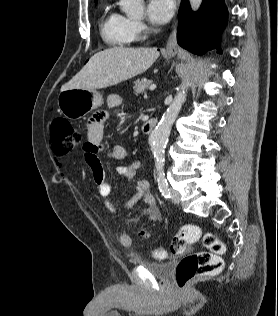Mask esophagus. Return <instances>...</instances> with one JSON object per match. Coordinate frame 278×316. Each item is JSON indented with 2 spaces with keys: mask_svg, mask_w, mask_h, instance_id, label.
Wrapping results in <instances>:
<instances>
[{
  "mask_svg": "<svg viewBox=\"0 0 278 316\" xmlns=\"http://www.w3.org/2000/svg\"><path fill=\"white\" fill-rule=\"evenodd\" d=\"M179 4H180V0H178L177 6H179ZM177 30H178V20L175 19L171 32L168 37L166 47H165V52L169 55H175L177 53V49H178Z\"/></svg>",
  "mask_w": 278,
  "mask_h": 316,
  "instance_id": "1",
  "label": "esophagus"
}]
</instances>
